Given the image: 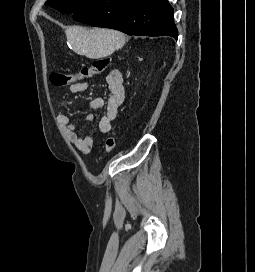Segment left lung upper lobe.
Returning a JSON list of instances; mask_svg holds the SVG:
<instances>
[{"instance_id":"5c2ea615","label":"left lung upper lobe","mask_w":255,"mask_h":272,"mask_svg":"<svg viewBox=\"0 0 255 272\" xmlns=\"http://www.w3.org/2000/svg\"><path fill=\"white\" fill-rule=\"evenodd\" d=\"M92 0H47L45 5L50 6L61 13H75L88 5Z\"/></svg>"}]
</instances>
